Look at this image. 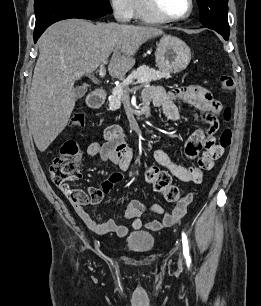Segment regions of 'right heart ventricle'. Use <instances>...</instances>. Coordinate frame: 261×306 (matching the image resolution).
Returning a JSON list of instances; mask_svg holds the SVG:
<instances>
[{
    "label": "right heart ventricle",
    "instance_id": "obj_1",
    "mask_svg": "<svg viewBox=\"0 0 261 306\" xmlns=\"http://www.w3.org/2000/svg\"><path fill=\"white\" fill-rule=\"evenodd\" d=\"M133 17L148 23H159L158 19L150 15L143 6L142 0H134L133 2Z\"/></svg>",
    "mask_w": 261,
    "mask_h": 306
}]
</instances>
